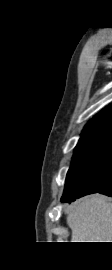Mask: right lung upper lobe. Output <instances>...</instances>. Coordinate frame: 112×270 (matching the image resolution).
Instances as JSON below:
<instances>
[{"mask_svg": "<svg viewBox=\"0 0 112 270\" xmlns=\"http://www.w3.org/2000/svg\"><path fill=\"white\" fill-rule=\"evenodd\" d=\"M105 126H112V105L95 115L93 119L85 125L82 134L87 131Z\"/></svg>", "mask_w": 112, "mask_h": 270, "instance_id": "obj_1", "label": "right lung upper lobe"}]
</instances>
